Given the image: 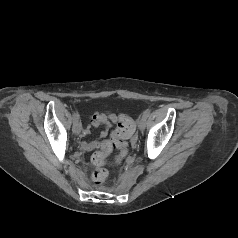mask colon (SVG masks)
Returning a JSON list of instances; mask_svg holds the SVG:
<instances>
[{"mask_svg":"<svg viewBox=\"0 0 238 238\" xmlns=\"http://www.w3.org/2000/svg\"><path fill=\"white\" fill-rule=\"evenodd\" d=\"M135 131V125L132 119L127 116H121L117 128L112 133L111 140L92 156V162L96 165V169L92 173V180L96 184L103 183L108 171L103 167L106 161V155L111 149L120 151L119 158H122L126 153L127 144L125 139L129 138Z\"/></svg>","mask_w":238,"mask_h":238,"instance_id":"obj_1","label":"colon"}]
</instances>
